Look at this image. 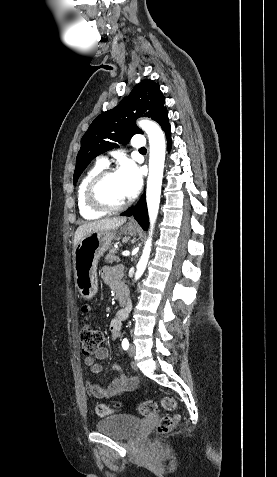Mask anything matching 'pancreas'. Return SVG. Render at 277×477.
<instances>
[{"label": "pancreas", "instance_id": "1", "mask_svg": "<svg viewBox=\"0 0 277 477\" xmlns=\"http://www.w3.org/2000/svg\"><path fill=\"white\" fill-rule=\"evenodd\" d=\"M117 252H118V249L111 248L105 257L106 262L108 263L119 262L120 258L119 256L116 255Z\"/></svg>", "mask_w": 277, "mask_h": 477}]
</instances>
